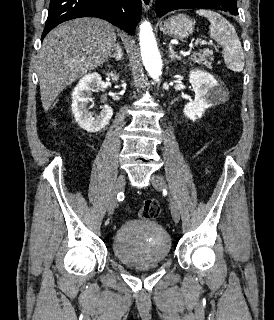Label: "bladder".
I'll list each match as a JSON object with an SVG mask.
<instances>
[{"mask_svg": "<svg viewBox=\"0 0 274 320\" xmlns=\"http://www.w3.org/2000/svg\"><path fill=\"white\" fill-rule=\"evenodd\" d=\"M112 249L115 257L127 265L161 263L171 251V239L159 223L148 219H133L116 230Z\"/></svg>", "mask_w": 274, "mask_h": 320, "instance_id": "bladder-1", "label": "bladder"}]
</instances>
